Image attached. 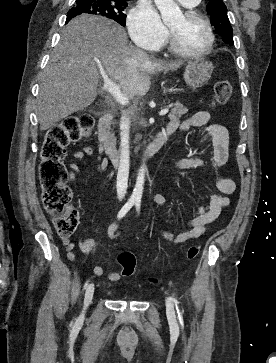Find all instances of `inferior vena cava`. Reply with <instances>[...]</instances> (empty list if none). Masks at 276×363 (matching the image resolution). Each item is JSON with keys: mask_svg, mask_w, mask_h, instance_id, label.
I'll list each match as a JSON object with an SVG mask.
<instances>
[{"mask_svg": "<svg viewBox=\"0 0 276 363\" xmlns=\"http://www.w3.org/2000/svg\"><path fill=\"white\" fill-rule=\"evenodd\" d=\"M129 128L130 122L129 119L122 115L120 121V130H121V154H120V163L117 174V196L119 200H122L126 194L127 186H128V175H129Z\"/></svg>", "mask_w": 276, "mask_h": 363, "instance_id": "602c4592", "label": "inferior vena cava"}]
</instances>
